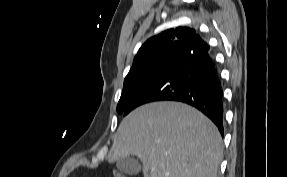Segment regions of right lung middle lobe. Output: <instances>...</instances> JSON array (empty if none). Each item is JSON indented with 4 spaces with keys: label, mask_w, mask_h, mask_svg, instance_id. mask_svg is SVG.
<instances>
[{
    "label": "right lung middle lobe",
    "mask_w": 287,
    "mask_h": 177,
    "mask_svg": "<svg viewBox=\"0 0 287 177\" xmlns=\"http://www.w3.org/2000/svg\"><path fill=\"white\" fill-rule=\"evenodd\" d=\"M179 62L180 58L170 56L127 76L117 105L118 113H123L152 82Z\"/></svg>",
    "instance_id": "right-lung-middle-lobe-1"
}]
</instances>
